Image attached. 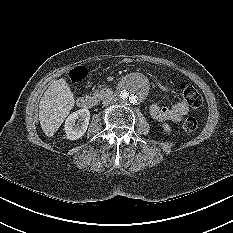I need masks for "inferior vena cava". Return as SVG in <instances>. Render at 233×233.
I'll use <instances>...</instances> for the list:
<instances>
[{
  "label": "inferior vena cava",
  "mask_w": 233,
  "mask_h": 233,
  "mask_svg": "<svg viewBox=\"0 0 233 233\" xmlns=\"http://www.w3.org/2000/svg\"><path fill=\"white\" fill-rule=\"evenodd\" d=\"M117 97L115 95H110L102 100L104 106L112 105L116 103Z\"/></svg>",
  "instance_id": "602c4592"
}]
</instances>
